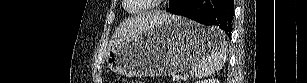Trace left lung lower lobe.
I'll use <instances>...</instances> for the list:
<instances>
[{
	"mask_svg": "<svg viewBox=\"0 0 307 83\" xmlns=\"http://www.w3.org/2000/svg\"><path fill=\"white\" fill-rule=\"evenodd\" d=\"M167 12L185 16L204 25H216L231 37L233 0H172Z\"/></svg>",
	"mask_w": 307,
	"mask_h": 83,
	"instance_id": "0a47b994",
	"label": "left lung lower lobe"
}]
</instances>
